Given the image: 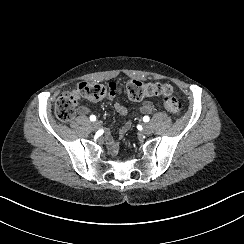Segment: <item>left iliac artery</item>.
I'll return each mask as SVG.
<instances>
[{
  "label": "left iliac artery",
  "mask_w": 244,
  "mask_h": 244,
  "mask_svg": "<svg viewBox=\"0 0 244 244\" xmlns=\"http://www.w3.org/2000/svg\"><path fill=\"white\" fill-rule=\"evenodd\" d=\"M149 120H150L149 116H144V117H143V121H144V122H148Z\"/></svg>",
  "instance_id": "obj_1"
}]
</instances>
